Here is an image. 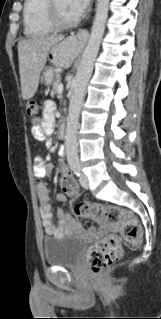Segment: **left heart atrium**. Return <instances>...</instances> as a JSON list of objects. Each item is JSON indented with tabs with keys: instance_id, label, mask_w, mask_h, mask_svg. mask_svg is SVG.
Returning <instances> with one entry per match:
<instances>
[{
	"instance_id": "39dd6f15",
	"label": "left heart atrium",
	"mask_w": 161,
	"mask_h": 319,
	"mask_svg": "<svg viewBox=\"0 0 161 319\" xmlns=\"http://www.w3.org/2000/svg\"><path fill=\"white\" fill-rule=\"evenodd\" d=\"M70 10L76 15L80 16L88 6L90 0H67Z\"/></svg>"
}]
</instances>
